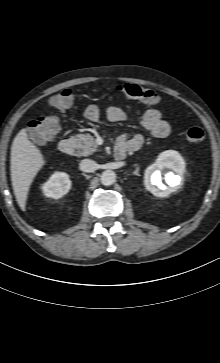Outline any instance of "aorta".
Instances as JSON below:
<instances>
[{"mask_svg": "<svg viewBox=\"0 0 220 363\" xmlns=\"http://www.w3.org/2000/svg\"><path fill=\"white\" fill-rule=\"evenodd\" d=\"M100 180L104 186H110L116 181V174L112 170H106L101 174Z\"/></svg>", "mask_w": 220, "mask_h": 363, "instance_id": "obj_1", "label": "aorta"}]
</instances>
